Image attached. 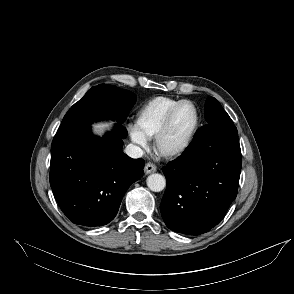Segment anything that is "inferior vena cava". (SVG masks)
I'll return each instance as SVG.
<instances>
[{
  "mask_svg": "<svg viewBox=\"0 0 294 294\" xmlns=\"http://www.w3.org/2000/svg\"><path fill=\"white\" fill-rule=\"evenodd\" d=\"M125 153L131 158H140L143 156V150L133 144H129L125 148Z\"/></svg>",
  "mask_w": 294,
  "mask_h": 294,
  "instance_id": "1",
  "label": "inferior vena cava"
}]
</instances>
